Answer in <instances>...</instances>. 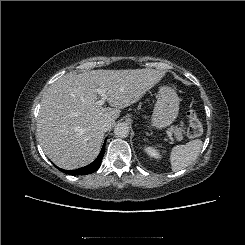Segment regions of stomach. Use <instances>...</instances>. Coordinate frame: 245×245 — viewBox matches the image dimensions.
I'll return each mask as SVG.
<instances>
[{
    "label": "stomach",
    "mask_w": 245,
    "mask_h": 245,
    "mask_svg": "<svg viewBox=\"0 0 245 245\" xmlns=\"http://www.w3.org/2000/svg\"><path fill=\"white\" fill-rule=\"evenodd\" d=\"M179 102V97L174 89L168 86L160 87L151 117V125L157 129L170 126L178 116Z\"/></svg>",
    "instance_id": "1"
}]
</instances>
